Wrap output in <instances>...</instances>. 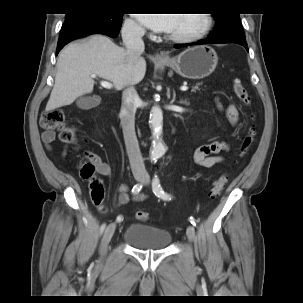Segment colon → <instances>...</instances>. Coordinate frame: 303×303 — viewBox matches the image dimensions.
<instances>
[{
	"label": "colon",
	"mask_w": 303,
	"mask_h": 303,
	"mask_svg": "<svg viewBox=\"0 0 303 303\" xmlns=\"http://www.w3.org/2000/svg\"><path fill=\"white\" fill-rule=\"evenodd\" d=\"M233 90L238 99L246 106L251 104V98L247 90L245 89L240 78H234L232 80ZM40 125L43 129L54 130L59 132L60 139L70 145L76 144V134L73 127L67 125L65 115L62 110L54 109L47 110L42 114ZM258 132L257 126L252 124L247 135L244 137L238 153L240 156L248 154L250 146ZM97 160L91 153H86V159L79 164L81 175L90 181V195L94 203H101L105 196L104 185L101 179L96 176L95 165ZM228 176L223 174L219 176L213 183L210 196L216 197L220 194L224 186L226 185ZM136 218L140 221H146L149 219V213L146 211H138Z\"/></svg>",
	"instance_id": "1"
}]
</instances>
